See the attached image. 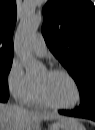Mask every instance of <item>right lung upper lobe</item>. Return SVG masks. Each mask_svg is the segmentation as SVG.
I'll return each mask as SVG.
<instances>
[{"label": "right lung upper lobe", "mask_w": 95, "mask_h": 130, "mask_svg": "<svg viewBox=\"0 0 95 130\" xmlns=\"http://www.w3.org/2000/svg\"><path fill=\"white\" fill-rule=\"evenodd\" d=\"M17 8L15 0H0V60L13 59V32Z\"/></svg>", "instance_id": "1"}]
</instances>
